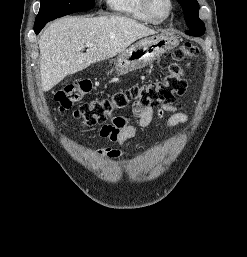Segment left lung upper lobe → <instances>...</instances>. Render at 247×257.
Masks as SVG:
<instances>
[{
	"label": "left lung upper lobe",
	"mask_w": 247,
	"mask_h": 257,
	"mask_svg": "<svg viewBox=\"0 0 247 257\" xmlns=\"http://www.w3.org/2000/svg\"><path fill=\"white\" fill-rule=\"evenodd\" d=\"M184 11V18L189 30L186 34L203 35L205 25L198 16L199 4L197 0H177Z\"/></svg>",
	"instance_id": "obj_1"
}]
</instances>
